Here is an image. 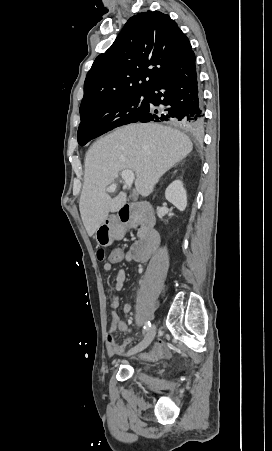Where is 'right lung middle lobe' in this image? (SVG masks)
Returning a JSON list of instances; mask_svg holds the SVG:
<instances>
[{
  "label": "right lung middle lobe",
  "mask_w": 272,
  "mask_h": 451,
  "mask_svg": "<svg viewBox=\"0 0 272 451\" xmlns=\"http://www.w3.org/2000/svg\"><path fill=\"white\" fill-rule=\"evenodd\" d=\"M148 110L149 96L147 93L122 97L96 105L80 113L78 143L83 146L109 130L137 122Z\"/></svg>",
  "instance_id": "dd1d6c3e"
}]
</instances>
